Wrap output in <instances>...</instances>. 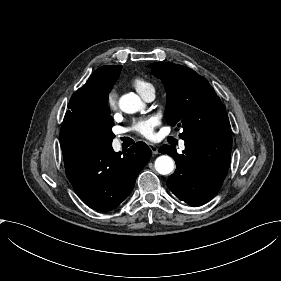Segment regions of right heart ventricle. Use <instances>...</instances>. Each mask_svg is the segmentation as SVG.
Here are the masks:
<instances>
[{
    "label": "right heart ventricle",
    "mask_w": 281,
    "mask_h": 281,
    "mask_svg": "<svg viewBox=\"0 0 281 281\" xmlns=\"http://www.w3.org/2000/svg\"><path fill=\"white\" fill-rule=\"evenodd\" d=\"M130 85L137 91L139 96L143 99L148 90H153L152 86L141 78H134L130 82Z\"/></svg>",
    "instance_id": "1"
}]
</instances>
